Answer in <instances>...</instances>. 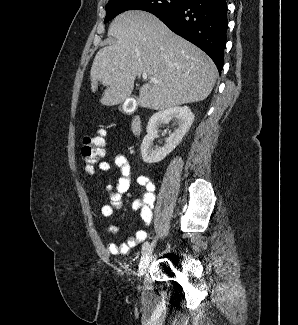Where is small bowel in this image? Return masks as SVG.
Listing matches in <instances>:
<instances>
[{
    "label": "small bowel",
    "mask_w": 298,
    "mask_h": 325,
    "mask_svg": "<svg viewBox=\"0 0 298 325\" xmlns=\"http://www.w3.org/2000/svg\"><path fill=\"white\" fill-rule=\"evenodd\" d=\"M99 168L111 175L120 174L115 185H107L106 189L109 192L110 203L105 204L101 208V214L104 217H110L113 213L119 210L122 206V199L128 192L131 184L132 166L127 158L121 154L113 155L112 162H100ZM137 184L141 189L142 196L132 203V210L139 212L141 219L146 225L151 223L153 217V209L155 205V185L147 176H139ZM107 231L115 235L118 232L116 226H109ZM147 233L144 230H139L135 234L129 236L125 243L116 244L109 243L107 251L112 255H123L146 239Z\"/></svg>",
    "instance_id": "obj_1"
}]
</instances>
